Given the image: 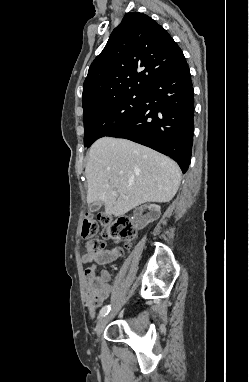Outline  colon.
Here are the masks:
<instances>
[{
    "instance_id": "colon-1",
    "label": "colon",
    "mask_w": 249,
    "mask_h": 382,
    "mask_svg": "<svg viewBox=\"0 0 249 382\" xmlns=\"http://www.w3.org/2000/svg\"><path fill=\"white\" fill-rule=\"evenodd\" d=\"M98 221L104 227L103 239L92 238L98 230ZM137 224L128 219H116L111 216H101L97 220L93 215L86 214L83 218L81 234L88 238L86 250L90 254H96L103 250L105 241L124 242L126 246L130 244L137 234ZM121 253V251H120ZM99 292L96 297L102 296L107 290V284L97 285Z\"/></svg>"
}]
</instances>
